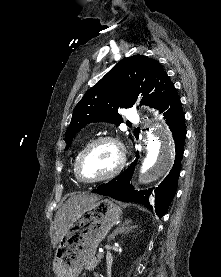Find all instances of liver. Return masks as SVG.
Segmentation results:
<instances>
[{"label":"liver","mask_w":221,"mask_h":277,"mask_svg":"<svg viewBox=\"0 0 221 277\" xmlns=\"http://www.w3.org/2000/svg\"><path fill=\"white\" fill-rule=\"evenodd\" d=\"M96 194L82 193L70 197L65 204L57 211L54 218V233L51 235L53 248L57 246L66 234L70 223L76 218L79 212L88 205L99 200Z\"/></svg>","instance_id":"obj_1"}]
</instances>
